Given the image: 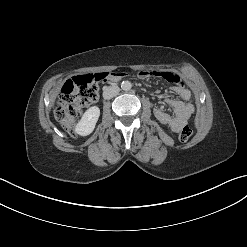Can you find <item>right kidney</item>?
I'll use <instances>...</instances> for the list:
<instances>
[{
  "instance_id": "right-kidney-1",
  "label": "right kidney",
  "mask_w": 247,
  "mask_h": 247,
  "mask_svg": "<svg viewBox=\"0 0 247 247\" xmlns=\"http://www.w3.org/2000/svg\"><path fill=\"white\" fill-rule=\"evenodd\" d=\"M100 116V109L92 106L85 111L81 120L75 126V132L81 136H87L93 132L95 125Z\"/></svg>"
}]
</instances>
